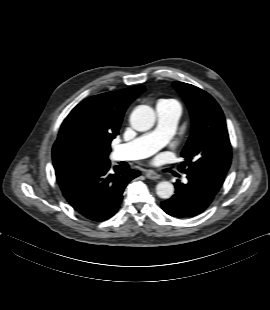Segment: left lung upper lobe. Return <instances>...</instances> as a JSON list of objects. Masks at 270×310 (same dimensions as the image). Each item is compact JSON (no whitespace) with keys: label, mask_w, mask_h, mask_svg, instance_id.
I'll return each mask as SVG.
<instances>
[{"label":"left lung upper lobe","mask_w":270,"mask_h":310,"mask_svg":"<svg viewBox=\"0 0 270 310\" xmlns=\"http://www.w3.org/2000/svg\"><path fill=\"white\" fill-rule=\"evenodd\" d=\"M191 113L192 132L179 166L185 173L225 177L231 163V144L223 112L207 92L191 84L174 82Z\"/></svg>","instance_id":"5c2ea615"}]
</instances>
